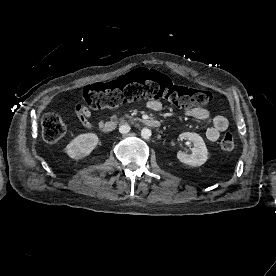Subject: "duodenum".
Returning <instances> with one entry per match:
<instances>
[{"label":"duodenum","instance_id":"obj_1","mask_svg":"<svg viewBox=\"0 0 276 276\" xmlns=\"http://www.w3.org/2000/svg\"><path fill=\"white\" fill-rule=\"evenodd\" d=\"M140 122L148 127H153V128L160 127L161 125L160 121L156 119H151V118L140 119ZM116 127H117V121H108L101 126V130L104 133H111L116 129Z\"/></svg>","mask_w":276,"mask_h":276}]
</instances>
